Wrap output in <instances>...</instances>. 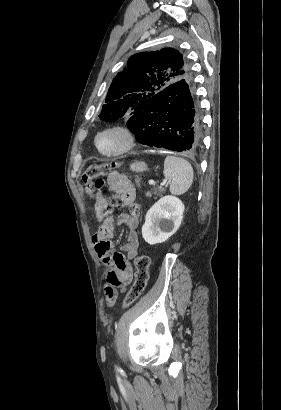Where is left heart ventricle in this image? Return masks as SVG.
I'll return each mask as SVG.
<instances>
[{"mask_svg": "<svg viewBox=\"0 0 281 410\" xmlns=\"http://www.w3.org/2000/svg\"><path fill=\"white\" fill-rule=\"evenodd\" d=\"M123 143L122 138L113 133H107L100 137L99 146L104 151H114L121 147Z\"/></svg>", "mask_w": 281, "mask_h": 410, "instance_id": "b2bd125f", "label": "left heart ventricle"}]
</instances>
